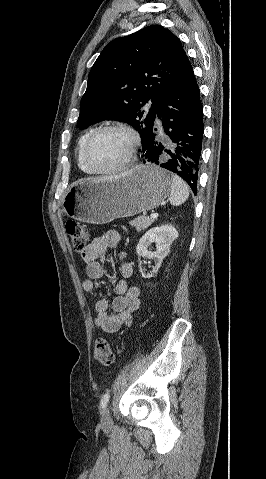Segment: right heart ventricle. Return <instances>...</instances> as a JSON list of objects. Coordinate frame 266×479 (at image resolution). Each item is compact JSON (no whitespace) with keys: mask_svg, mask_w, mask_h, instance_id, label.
Wrapping results in <instances>:
<instances>
[{"mask_svg":"<svg viewBox=\"0 0 266 479\" xmlns=\"http://www.w3.org/2000/svg\"><path fill=\"white\" fill-rule=\"evenodd\" d=\"M95 130V128H90L88 129L86 132H84L79 141H78V147H77V164H78V167L79 169L85 173V174H92L88 168L86 167L84 161H83V148H84V145L88 139V137L91 135V133Z\"/></svg>","mask_w":266,"mask_h":479,"instance_id":"right-heart-ventricle-1","label":"right heart ventricle"}]
</instances>
